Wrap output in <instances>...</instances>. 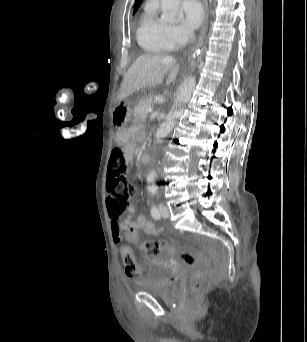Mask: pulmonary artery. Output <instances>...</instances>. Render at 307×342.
<instances>
[{
  "mask_svg": "<svg viewBox=\"0 0 307 342\" xmlns=\"http://www.w3.org/2000/svg\"><path fill=\"white\" fill-rule=\"evenodd\" d=\"M154 12L152 8H147L145 15L150 19L153 16Z\"/></svg>",
  "mask_w": 307,
  "mask_h": 342,
  "instance_id": "e3ab8cb5",
  "label": "pulmonary artery"
}]
</instances>
